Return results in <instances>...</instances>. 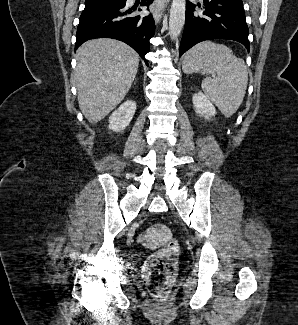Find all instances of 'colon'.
<instances>
[{
	"instance_id": "colon-1",
	"label": "colon",
	"mask_w": 298,
	"mask_h": 325,
	"mask_svg": "<svg viewBox=\"0 0 298 325\" xmlns=\"http://www.w3.org/2000/svg\"><path fill=\"white\" fill-rule=\"evenodd\" d=\"M139 243L154 250L143 266V279L155 297L165 298L176 275L178 243L163 224L150 226L139 236Z\"/></svg>"
}]
</instances>
